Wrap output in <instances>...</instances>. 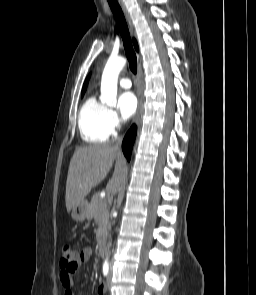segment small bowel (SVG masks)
<instances>
[{
	"mask_svg": "<svg viewBox=\"0 0 256 295\" xmlns=\"http://www.w3.org/2000/svg\"><path fill=\"white\" fill-rule=\"evenodd\" d=\"M92 254H93V252H92L91 248L86 247V248L82 249V251L79 253V264H78L77 268H79L82 265H84L85 263H87L90 260V258L92 257ZM75 270L70 271L67 269H62L60 272V280H61V283L64 287V295H74L73 291H72V287H73L72 273ZM96 291H97V295H105L106 291H107V287L105 284L99 283Z\"/></svg>",
	"mask_w": 256,
	"mask_h": 295,
	"instance_id": "c3829d8e",
	"label": "small bowel"
}]
</instances>
